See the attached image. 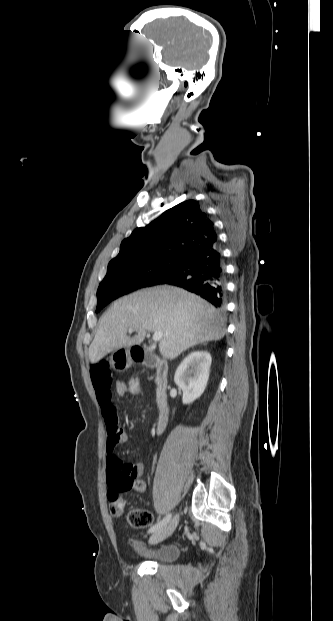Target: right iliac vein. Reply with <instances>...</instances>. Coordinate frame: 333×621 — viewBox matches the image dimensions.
Listing matches in <instances>:
<instances>
[{"label":"right iliac vein","mask_w":333,"mask_h":621,"mask_svg":"<svg viewBox=\"0 0 333 621\" xmlns=\"http://www.w3.org/2000/svg\"><path fill=\"white\" fill-rule=\"evenodd\" d=\"M178 520L179 515L176 514L168 524L154 532L150 537L149 541L151 543H159L164 539L168 538L174 532L178 524Z\"/></svg>","instance_id":"obj_1"}]
</instances>
